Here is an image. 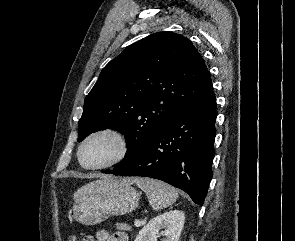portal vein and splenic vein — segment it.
<instances>
[{
  "label": "portal vein and splenic vein",
  "mask_w": 295,
  "mask_h": 241,
  "mask_svg": "<svg viewBox=\"0 0 295 241\" xmlns=\"http://www.w3.org/2000/svg\"><path fill=\"white\" fill-rule=\"evenodd\" d=\"M141 224H142V223H141V221H139V220H135V221H134V225H135L136 227H139Z\"/></svg>",
  "instance_id": "portal-vein-and-splenic-vein-1"
}]
</instances>
